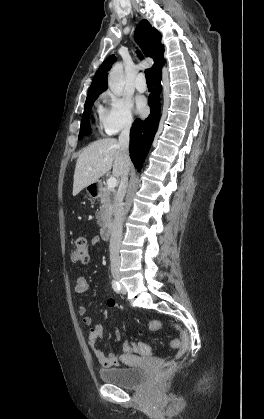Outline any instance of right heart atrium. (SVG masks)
<instances>
[{"label": "right heart atrium", "mask_w": 264, "mask_h": 419, "mask_svg": "<svg viewBox=\"0 0 264 419\" xmlns=\"http://www.w3.org/2000/svg\"><path fill=\"white\" fill-rule=\"evenodd\" d=\"M108 107L100 114V124L107 135L131 128L134 117L132 103L128 98L108 94Z\"/></svg>", "instance_id": "1"}]
</instances>
